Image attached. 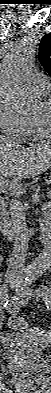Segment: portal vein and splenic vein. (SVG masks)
<instances>
[{"mask_svg":"<svg viewBox=\"0 0 51 393\" xmlns=\"http://www.w3.org/2000/svg\"><path fill=\"white\" fill-rule=\"evenodd\" d=\"M1 186H4L7 189L14 190V191L21 192V193H23V191H25V189L23 187H21L20 185H18L16 183L8 184L4 180H1Z\"/></svg>","mask_w":51,"mask_h":393,"instance_id":"1","label":"portal vein and splenic vein"}]
</instances>
